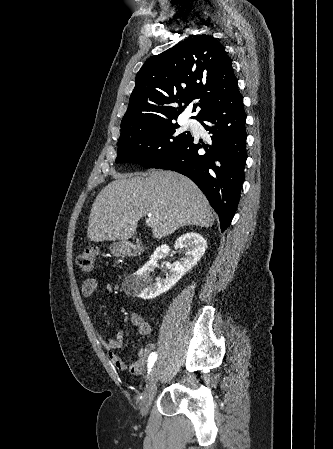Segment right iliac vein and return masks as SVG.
Instances as JSON below:
<instances>
[{
	"label": "right iliac vein",
	"instance_id": "obj_1",
	"mask_svg": "<svg viewBox=\"0 0 333 449\" xmlns=\"http://www.w3.org/2000/svg\"><path fill=\"white\" fill-rule=\"evenodd\" d=\"M158 382V364L155 365L143 395L142 415H146L155 397Z\"/></svg>",
	"mask_w": 333,
	"mask_h": 449
}]
</instances>
